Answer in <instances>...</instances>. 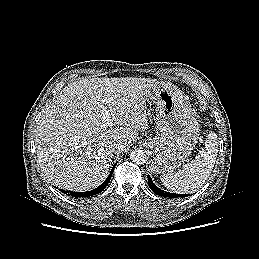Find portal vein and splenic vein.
<instances>
[{
	"label": "portal vein and splenic vein",
	"mask_w": 259,
	"mask_h": 259,
	"mask_svg": "<svg viewBox=\"0 0 259 259\" xmlns=\"http://www.w3.org/2000/svg\"><path fill=\"white\" fill-rule=\"evenodd\" d=\"M103 123H104V125H106V126L111 125V123L109 122V120L107 119V117H104V118H103Z\"/></svg>",
	"instance_id": "1"
}]
</instances>
